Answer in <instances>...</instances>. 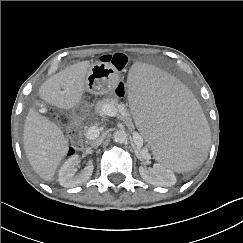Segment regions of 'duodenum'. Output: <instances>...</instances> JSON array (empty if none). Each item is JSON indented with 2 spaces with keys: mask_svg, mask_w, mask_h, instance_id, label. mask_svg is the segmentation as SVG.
<instances>
[{
  "mask_svg": "<svg viewBox=\"0 0 243 243\" xmlns=\"http://www.w3.org/2000/svg\"><path fill=\"white\" fill-rule=\"evenodd\" d=\"M68 132L74 138L79 140V136H80V132H81L80 124L77 121H72L68 127Z\"/></svg>",
  "mask_w": 243,
  "mask_h": 243,
  "instance_id": "obj_1",
  "label": "duodenum"
}]
</instances>
